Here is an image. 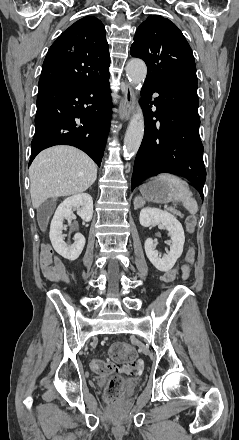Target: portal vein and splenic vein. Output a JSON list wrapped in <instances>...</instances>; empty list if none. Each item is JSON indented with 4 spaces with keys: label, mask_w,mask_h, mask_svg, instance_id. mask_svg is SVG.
Instances as JSON below:
<instances>
[{
    "label": "portal vein and splenic vein",
    "mask_w": 239,
    "mask_h": 440,
    "mask_svg": "<svg viewBox=\"0 0 239 440\" xmlns=\"http://www.w3.org/2000/svg\"><path fill=\"white\" fill-rule=\"evenodd\" d=\"M169 208H170V207H169L167 204H164V208H163L164 210L167 211Z\"/></svg>",
    "instance_id": "portal-vein-and-splenic-vein-1"
}]
</instances>
